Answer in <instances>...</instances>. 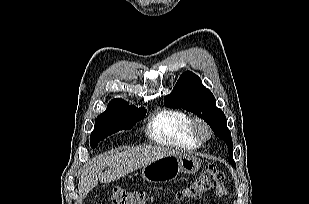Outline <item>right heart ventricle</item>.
<instances>
[{
    "label": "right heart ventricle",
    "instance_id": "e07e8e85",
    "mask_svg": "<svg viewBox=\"0 0 309 204\" xmlns=\"http://www.w3.org/2000/svg\"><path fill=\"white\" fill-rule=\"evenodd\" d=\"M191 118L182 110L164 108L148 124V135L159 144L195 149L200 142L191 133Z\"/></svg>",
    "mask_w": 309,
    "mask_h": 204
}]
</instances>
